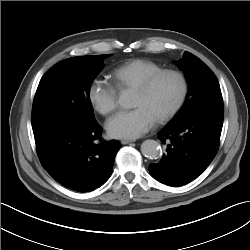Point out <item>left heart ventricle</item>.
Instances as JSON below:
<instances>
[{
	"instance_id": "b2bd125f",
	"label": "left heart ventricle",
	"mask_w": 250,
	"mask_h": 250,
	"mask_svg": "<svg viewBox=\"0 0 250 250\" xmlns=\"http://www.w3.org/2000/svg\"><path fill=\"white\" fill-rule=\"evenodd\" d=\"M180 92V83L173 76L159 78L146 94L134 92L133 107L142 106L158 119L176 101Z\"/></svg>"
}]
</instances>
